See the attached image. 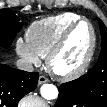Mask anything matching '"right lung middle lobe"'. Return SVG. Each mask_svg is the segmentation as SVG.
Masks as SVG:
<instances>
[{
	"instance_id": "obj_1",
	"label": "right lung middle lobe",
	"mask_w": 107,
	"mask_h": 107,
	"mask_svg": "<svg viewBox=\"0 0 107 107\" xmlns=\"http://www.w3.org/2000/svg\"><path fill=\"white\" fill-rule=\"evenodd\" d=\"M23 24L19 18L8 9L0 10V44L10 46Z\"/></svg>"
}]
</instances>
